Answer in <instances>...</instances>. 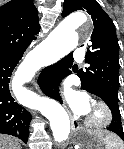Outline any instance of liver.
Returning <instances> with one entry per match:
<instances>
[{"label": "liver", "mask_w": 124, "mask_h": 149, "mask_svg": "<svg viewBox=\"0 0 124 149\" xmlns=\"http://www.w3.org/2000/svg\"><path fill=\"white\" fill-rule=\"evenodd\" d=\"M20 148H21L20 144L15 138L0 134V149H20Z\"/></svg>", "instance_id": "obj_1"}]
</instances>
